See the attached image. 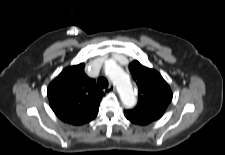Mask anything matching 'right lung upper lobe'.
I'll return each mask as SVG.
<instances>
[{
  "mask_svg": "<svg viewBox=\"0 0 225 155\" xmlns=\"http://www.w3.org/2000/svg\"><path fill=\"white\" fill-rule=\"evenodd\" d=\"M84 63L65 68L49 85L47 95L55 115L68 124L83 125L93 120L103 91L84 73Z\"/></svg>",
  "mask_w": 225,
  "mask_h": 155,
  "instance_id": "cb5924a9",
  "label": "right lung upper lobe"
}]
</instances>
